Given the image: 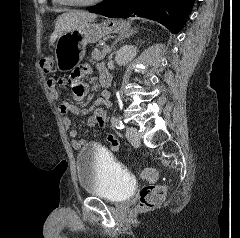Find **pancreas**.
<instances>
[{"mask_svg":"<svg viewBox=\"0 0 240 238\" xmlns=\"http://www.w3.org/2000/svg\"><path fill=\"white\" fill-rule=\"evenodd\" d=\"M92 59L96 60V61H101L104 59L105 57V53L103 52V48L98 49L95 48L94 51L91 54Z\"/></svg>","mask_w":240,"mask_h":238,"instance_id":"1","label":"pancreas"}]
</instances>
